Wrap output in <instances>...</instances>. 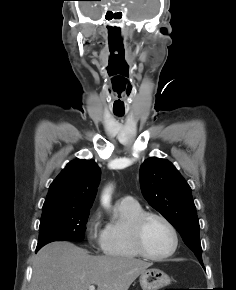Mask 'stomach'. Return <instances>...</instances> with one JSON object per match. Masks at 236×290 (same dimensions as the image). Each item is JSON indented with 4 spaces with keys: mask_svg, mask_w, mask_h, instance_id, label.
Returning <instances> with one entry per match:
<instances>
[{
    "mask_svg": "<svg viewBox=\"0 0 236 290\" xmlns=\"http://www.w3.org/2000/svg\"><path fill=\"white\" fill-rule=\"evenodd\" d=\"M139 282L143 290H159L169 285L171 280L159 269H147L140 274Z\"/></svg>",
    "mask_w": 236,
    "mask_h": 290,
    "instance_id": "0dacf381",
    "label": "stomach"
}]
</instances>
